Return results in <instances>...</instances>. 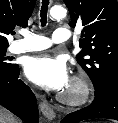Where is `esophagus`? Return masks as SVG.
Returning <instances> with one entry per match:
<instances>
[{
  "mask_svg": "<svg viewBox=\"0 0 118 123\" xmlns=\"http://www.w3.org/2000/svg\"><path fill=\"white\" fill-rule=\"evenodd\" d=\"M40 110L48 120H53L55 118L54 110L43 96H40Z\"/></svg>",
  "mask_w": 118,
  "mask_h": 123,
  "instance_id": "34e87169",
  "label": "esophagus"
}]
</instances>
